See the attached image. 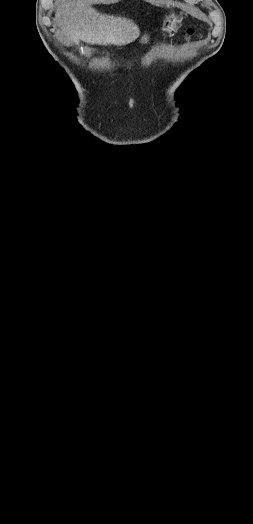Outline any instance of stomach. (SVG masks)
<instances>
[{"label": "stomach", "instance_id": "stomach-1", "mask_svg": "<svg viewBox=\"0 0 253 524\" xmlns=\"http://www.w3.org/2000/svg\"><path fill=\"white\" fill-rule=\"evenodd\" d=\"M180 22L181 20L175 14L172 13L164 20L163 30L171 34L178 29ZM147 41V37H144L142 39V43H146Z\"/></svg>", "mask_w": 253, "mask_h": 524}]
</instances>
